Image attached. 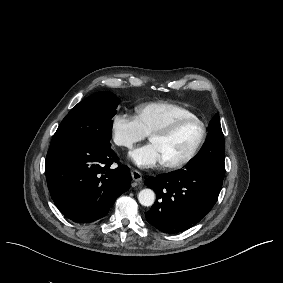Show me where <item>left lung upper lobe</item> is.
<instances>
[{
	"instance_id": "5c2ea615",
	"label": "left lung upper lobe",
	"mask_w": 283,
	"mask_h": 283,
	"mask_svg": "<svg viewBox=\"0 0 283 283\" xmlns=\"http://www.w3.org/2000/svg\"><path fill=\"white\" fill-rule=\"evenodd\" d=\"M210 147H214L222 154L225 153L224 136L222 133L220 118L218 114H216L210 122L207 142L204 144L200 152L204 150L206 151L214 150V149H210ZM224 174H225L224 172L221 173L220 177L224 178Z\"/></svg>"
}]
</instances>
